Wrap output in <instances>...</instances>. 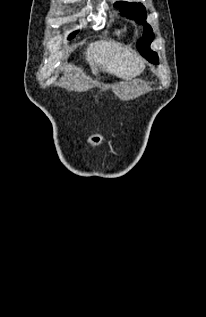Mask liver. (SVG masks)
I'll list each match as a JSON object with an SVG mask.
<instances>
[{
  "mask_svg": "<svg viewBox=\"0 0 206 317\" xmlns=\"http://www.w3.org/2000/svg\"><path fill=\"white\" fill-rule=\"evenodd\" d=\"M85 55L93 72L100 68L119 78L130 79L144 70V63L136 54L111 41L100 40L89 44Z\"/></svg>",
  "mask_w": 206,
  "mask_h": 317,
  "instance_id": "liver-1",
  "label": "liver"
}]
</instances>
